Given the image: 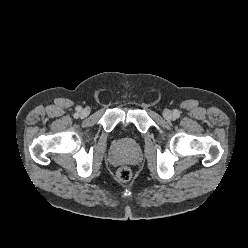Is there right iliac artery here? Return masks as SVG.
Returning <instances> with one entry per match:
<instances>
[{
	"label": "right iliac artery",
	"mask_w": 248,
	"mask_h": 248,
	"mask_svg": "<svg viewBox=\"0 0 248 248\" xmlns=\"http://www.w3.org/2000/svg\"><path fill=\"white\" fill-rule=\"evenodd\" d=\"M77 111H78V112H80V111H81V108H80V107H78V108H77Z\"/></svg>",
	"instance_id": "1"
}]
</instances>
